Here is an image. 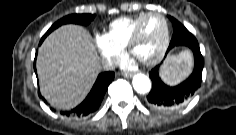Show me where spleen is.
Listing matches in <instances>:
<instances>
[{"label": "spleen", "instance_id": "spleen-1", "mask_svg": "<svg viewBox=\"0 0 236 135\" xmlns=\"http://www.w3.org/2000/svg\"><path fill=\"white\" fill-rule=\"evenodd\" d=\"M192 66L191 52L182 51L178 55H171L167 58L161 71V77L167 84L175 85L190 74Z\"/></svg>", "mask_w": 236, "mask_h": 135}]
</instances>
